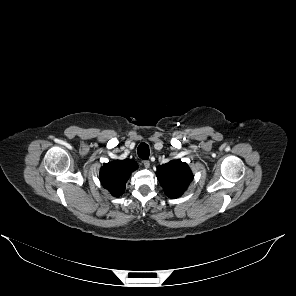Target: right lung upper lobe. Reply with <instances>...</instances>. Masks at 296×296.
<instances>
[{
	"label": "right lung upper lobe",
	"instance_id": "right-lung-upper-lobe-1",
	"mask_svg": "<svg viewBox=\"0 0 296 296\" xmlns=\"http://www.w3.org/2000/svg\"><path fill=\"white\" fill-rule=\"evenodd\" d=\"M134 160H114L104 163L100 170V181L102 186L113 196L119 197L125 190V184L131 172L137 169Z\"/></svg>",
	"mask_w": 296,
	"mask_h": 296
}]
</instances>
